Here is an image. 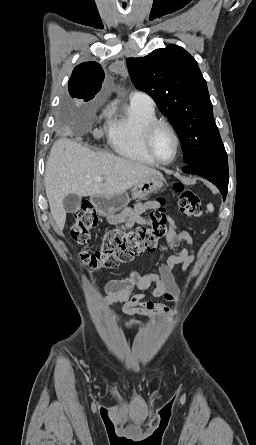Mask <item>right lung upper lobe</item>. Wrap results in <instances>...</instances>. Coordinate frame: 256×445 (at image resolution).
I'll use <instances>...</instances> for the list:
<instances>
[{
  "mask_svg": "<svg viewBox=\"0 0 256 445\" xmlns=\"http://www.w3.org/2000/svg\"><path fill=\"white\" fill-rule=\"evenodd\" d=\"M104 71L96 62H84L72 72L69 80V93L72 98L91 100L100 90Z\"/></svg>",
  "mask_w": 256,
  "mask_h": 445,
  "instance_id": "right-lung-upper-lobe-1",
  "label": "right lung upper lobe"
}]
</instances>
